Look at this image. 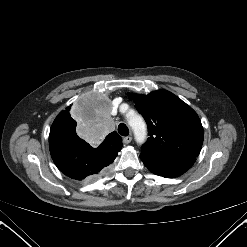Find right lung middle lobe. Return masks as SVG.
Instances as JSON below:
<instances>
[{
	"instance_id": "dd1d6c3e",
	"label": "right lung middle lobe",
	"mask_w": 247,
	"mask_h": 247,
	"mask_svg": "<svg viewBox=\"0 0 247 247\" xmlns=\"http://www.w3.org/2000/svg\"><path fill=\"white\" fill-rule=\"evenodd\" d=\"M76 125H77L76 121L71 117L70 113H68V118L66 120L60 121L59 128L74 131L76 128Z\"/></svg>"
}]
</instances>
